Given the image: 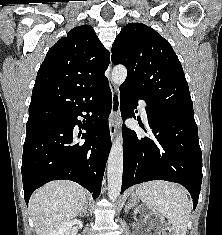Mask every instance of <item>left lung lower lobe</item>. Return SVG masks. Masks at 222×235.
<instances>
[{"mask_svg": "<svg viewBox=\"0 0 222 235\" xmlns=\"http://www.w3.org/2000/svg\"><path fill=\"white\" fill-rule=\"evenodd\" d=\"M143 99L129 87H120L123 119L136 118L134 109ZM144 100V99H143ZM149 137L123 127L124 154L121 194L130 186L151 180L183 185L197 206L202 182V153L194 119L147 104Z\"/></svg>", "mask_w": 222, "mask_h": 235, "instance_id": "left-lung-lower-lobe-1", "label": "left lung lower lobe"}]
</instances>
